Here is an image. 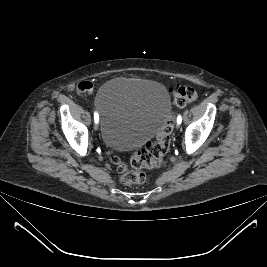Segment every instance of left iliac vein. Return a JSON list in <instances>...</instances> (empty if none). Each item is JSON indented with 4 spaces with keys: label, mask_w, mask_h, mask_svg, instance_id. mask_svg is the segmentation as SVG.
Instances as JSON below:
<instances>
[{
    "label": "left iliac vein",
    "mask_w": 267,
    "mask_h": 267,
    "mask_svg": "<svg viewBox=\"0 0 267 267\" xmlns=\"http://www.w3.org/2000/svg\"><path fill=\"white\" fill-rule=\"evenodd\" d=\"M179 127H180V124L176 123V128L179 129Z\"/></svg>",
    "instance_id": "1"
}]
</instances>
